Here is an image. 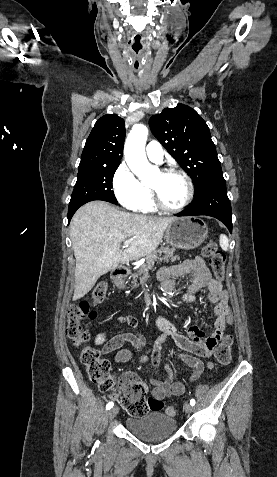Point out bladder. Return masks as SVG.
Wrapping results in <instances>:
<instances>
[{
  "label": "bladder",
  "mask_w": 277,
  "mask_h": 477,
  "mask_svg": "<svg viewBox=\"0 0 277 477\" xmlns=\"http://www.w3.org/2000/svg\"><path fill=\"white\" fill-rule=\"evenodd\" d=\"M125 426L143 440L157 441L174 434L177 430V421L169 415L152 411L141 417L127 418Z\"/></svg>",
  "instance_id": "bladder-1"
}]
</instances>
